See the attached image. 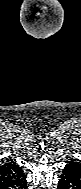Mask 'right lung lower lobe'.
<instances>
[{
  "mask_svg": "<svg viewBox=\"0 0 81 189\" xmlns=\"http://www.w3.org/2000/svg\"><path fill=\"white\" fill-rule=\"evenodd\" d=\"M0 189H27L26 176L15 163H7L0 169Z\"/></svg>",
  "mask_w": 81,
  "mask_h": 189,
  "instance_id": "98d812e1",
  "label": "right lung lower lobe"
}]
</instances>
